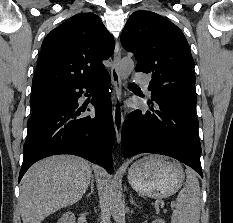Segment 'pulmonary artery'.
<instances>
[{
	"instance_id": "e3ab8cb5",
	"label": "pulmonary artery",
	"mask_w": 233,
	"mask_h": 223,
	"mask_svg": "<svg viewBox=\"0 0 233 223\" xmlns=\"http://www.w3.org/2000/svg\"><path fill=\"white\" fill-rule=\"evenodd\" d=\"M134 75H137V79H139V83L144 87H147L150 83V74H142V70H134Z\"/></svg>"
}]
</instances>
